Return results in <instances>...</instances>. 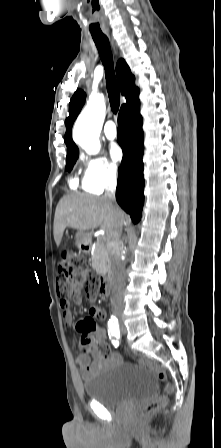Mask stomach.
Listing matches in <instances>:
<instances>
[{
    "instance_id": "1",
    "label": "stomach",
    "mask_w": 221,
    "mask_h": 448,
    "mask_svg": "<svg viewBox=\"0 0 221 448\" xmlns=\"http://www.w3.org/2000/svg\"><path fill=\"white\" fill-rule=\"evenodd\" d=\"M89 238V234L83 231H79L76 234V240L78 244H83L87 241V239Z\"/></svg>"
}]
</instances>
